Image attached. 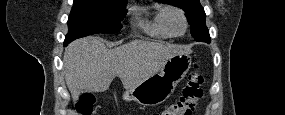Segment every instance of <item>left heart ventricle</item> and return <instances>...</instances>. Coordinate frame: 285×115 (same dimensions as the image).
<instances>
[{
  "label": "left heart ventricle",
  "mask_w": 285,
  "mask_h": 115,
  "mask_svg": "<svg viewBox=\"0 0 285 115\" xmlns=\"http://www.w3.org/2000/svg\"><path fill=\"white\" fill-rule=\"evenodd\" d=\"M167 19L169 26L173 32L179 33L183 30V21L178 13L176 12L169 13Z\"/></svg>",
  "instance_id": "b2bd125f"
}]
</instances>
